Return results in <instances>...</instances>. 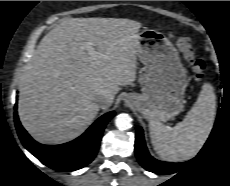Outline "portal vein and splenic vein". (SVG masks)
I'll list each match as a JSON object with an SVG mask.
<instances>
[{"label": "portal vein and splenic vein", "mask_w": 230, "mask_h": 186, "mask_svg": "<svg viewBox=\"0 0 230 186\" xmlns=\"http://www.w3.org/2000/svg\"><path fill=\"white\" fill-rule=\"evenodd\" d=\"M84 48L86 49L90 60H95L98 56V53L95 51L94 47L92 46L91 43L85 42L84 43Z\"/></svg>", "instance_id": "portal-vein-and-splenic-vein-1"}]
</instances>
